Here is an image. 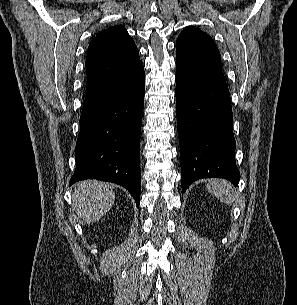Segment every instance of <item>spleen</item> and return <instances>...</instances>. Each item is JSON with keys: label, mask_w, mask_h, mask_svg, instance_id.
I'll return each mask as SVG.
<instances>
[{"label": "spleen", "mask_w": 297, "mask_h": 305, "mask_svg": "<svg viewBox=\"0 0 297 305\" xmlns=\"http://www.w3.org/2000/svg\"><path fill=\"white\" fill-rule=\"evenodd\" d=\"M207 189L222 202L232 204L235 194L231 184L225 180H210Z\"/></svg>", "instance_id": "1"}]
</instances>
